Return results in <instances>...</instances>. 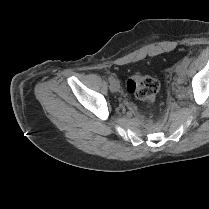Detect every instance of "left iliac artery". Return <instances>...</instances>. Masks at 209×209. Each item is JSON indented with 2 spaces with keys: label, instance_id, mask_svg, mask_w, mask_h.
Returning a JSON list of instances; mask_svg holds the SVG:
<instances>
[{
  "label": "left iliac artery",
  "instance_id": "obj_1",
  "mask_svg": "<svg viewBox=\"0 0 209 209\" xmlns=\"http://www.w3.org/2000/svg\"><path fill=\"white\" fill-rule=\"evenodd\" d=\"M183 62L185 63V65L187 67L190 63V58L188 56H185L184 59H183Z\"/></svg>",
  "mask_w": 209,
  "mask_h": 209
}]
</instances>
